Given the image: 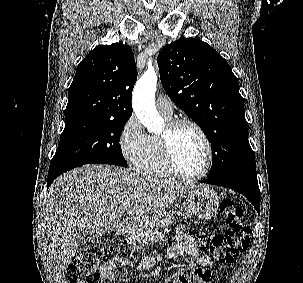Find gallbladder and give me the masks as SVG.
Listing matches in <instances>:
<instances>
[{
	"mask_svg": "<svg viewBox=\"0 0 303 283\" xmlns=\"http://www.w3.org/2000/svg\"><path fill=\"white\" fill-rule=\"evenodd\" d=\"M102 240L101 235H84L79 240V250H86Z\"/></svg>",
	"mask_w": 303,
	"mask_h": 283,
	"instance_id": "obj_1",
	"label": "gallbladder"
}]
</instances>
